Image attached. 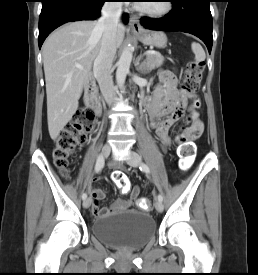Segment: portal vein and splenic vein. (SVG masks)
<instances>
[{"label":"portal vein and splenic vein","mask_w":258,"mask_h":275,"mask_svg":"<svg viewBox=\"0 0 258 275\" xmlns=\"http://www.w3.org/2000/svg\"><path fill=\"white\" fill-rule=\"evenodd\" d=\"M152 54H157L155 51H146L145 55H152Z\"/></svg>","instance_id":"18ae733b"}]
</instances>
